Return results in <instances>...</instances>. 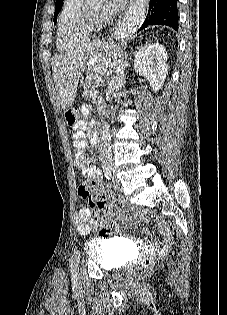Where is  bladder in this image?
I'll use <instances>...</instances> for the list:
<instances>
[{"label": "bladder", "mask_w": 227, "mask_h": 315, "mask_svg": "<svg viewBox=\"0 0 227 315\" xmlns=\"http://www.w3.org/2000/svg\"><path fill=\"white\" fill-rule=\"evenodd\" d=\"M87 257L104 270H113L123 266L128 249L115 238H92L86 242Z\"/></svg>", "instance_id": "obj_1"}]
</instances>
